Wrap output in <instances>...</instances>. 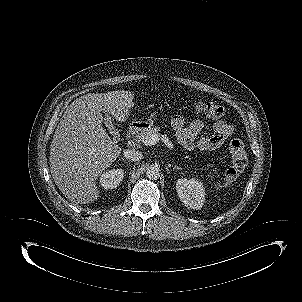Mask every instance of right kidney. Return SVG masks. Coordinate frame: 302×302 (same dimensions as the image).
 <instances>
[{
	"instance_id": "ca27d5eb",
	"label": "right kidney",
	"mask_w": 302,
	"mask_h": 302,
	"mask_svg": "<svg viewBox=\"0 0 302 302\" xmlns=\"http://www.w3.org/2000/svg\"><path fill=\"white\" fill-rule=\"evenodd\" d=\"M124 177V171L122 169H117L109 171L105 174H102L100 178V184L104 189H113L116 188Z\"/></svg>"
}]
</instances>
